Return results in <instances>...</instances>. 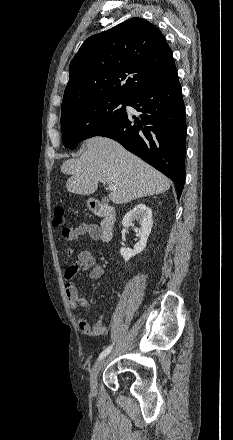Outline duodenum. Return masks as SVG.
Returning <instances> with one entry per match:
<instances>
[{
	"instance_id": "duodenum-1",
	"label": "duodenum",
	"mask_w": 233,
	"mask_h": 440,
	"mask_svg": "<svg viewBox=\"0 0 233 440\" xmlns=\"http://www.w3.org/2000/svg\"><path fill=\"white\" fill-rule=\"evenodd\" d=\"M92 210L96 216L101 218L99 226L100 239L103 242L111 241L114 236L116 223L115 210L100 201L92 203Z\"/></svg>"
}]
</instances>
